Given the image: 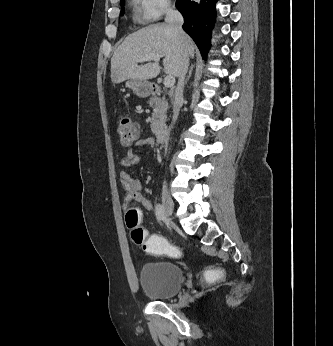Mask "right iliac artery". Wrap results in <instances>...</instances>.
<instances>
[{
    "label": "right iliac artery",
    "mask_w": 333,
    "mask_h": 346,
    "mask_svg": "<svg viewBox=\"0 0 333 346\" xmlns=\"http://www.w3.org/2000/svg\"><path fill=\"white\" fill-rule=\"evenodd\" d=\"M155 214L158 221H161L164 219V212H163V207L161 204L156 205Z\"/></svg>",
    "instance_id": "82829eb1"
}]
</instances>
